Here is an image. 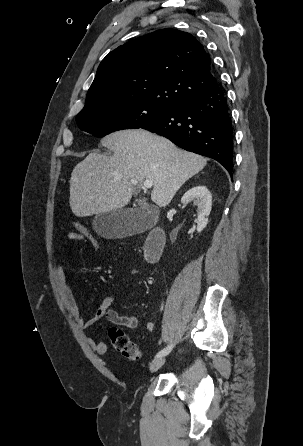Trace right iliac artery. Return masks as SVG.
<instances>
[{"mask_svg": "<svg viewBox=\"0 0 303 446\" xmlns=\"http://www.w3.org/2000/svg\"><path fill=\"white\" fill-rule=\"evenodd\" d=\"M172 348H173V345H169V346L165 347L164 349H162L161 351H159V352L156 354V358L166 356L167 354L170 353V351L172 350Z\"/></svg>", "mask_w": 303, "mask_h": 446, "instance_id": "82829eb1", "label": "right iliac artery"}]
</instances>
